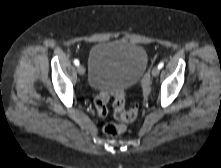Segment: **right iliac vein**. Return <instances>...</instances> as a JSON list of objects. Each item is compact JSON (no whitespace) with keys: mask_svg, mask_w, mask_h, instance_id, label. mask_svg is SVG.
<instances>
[{"mask_svg":"<svg viewBox=\"0 0 221 168\" xmlns=\"http://www.w3.org/2000/svg\"><path fill=\"white\" fill-rule=\"evenodd\" d=\"M77 71L80 75H83L85 73V68L83 65H78Z\"/></svg>","mask_w":221,"mask_h":168,"instance_id":"63e3f726","label":"right iliac vein"}]
</instances>
